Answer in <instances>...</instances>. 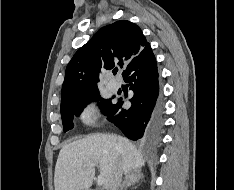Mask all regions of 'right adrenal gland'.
Here are the masks:
<instances>
[{
	"instance_id": "2a0ac1e0",
	"label": "right adrenal gland",
	"mask_w": 234,
	"mask_h": 190,
	"mask_svg": "<svg viewBox=\"0 0 234 190\" xmlns=\"http://www.w3.org/2000/svg\"><path fill=\"white\" fill-rule=\"evenodd\" d=\"M143 178L140 171H129L125 175V180L120 186V190H126L127 187L133 186Z\"/></svg>"
}]
</instances>
